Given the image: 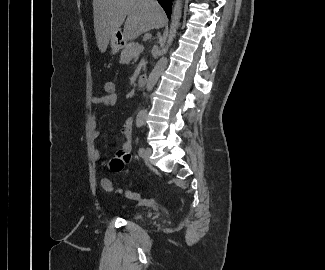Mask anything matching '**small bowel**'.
I'll return each mask as SVG.
<instances>
[{"label":"small bowel","mask_w":325,"mask_h":270,"mask_svg":"<svg viewBox=\"0 0 325 270\" xmlns=\"http://www.w3.org/2000/svg\"><path fill=\"white\" fill-rule=\"evenodd\" d=\"M105 86V85H104ZM116 91V90H115ZM118 102V96H106L104 93L101 96H94L91 98V103L99 108V107H114ZM132 126L133 120L132 118H128L122 125L121 132L124 137V140L121 144L120 150L117 152L116 156L113 157L110 161V169L113 172H119L123 170L126 163L130 160V154L132 151ZM91 137L93 140H97L100 137V132L97 129L96 119L93 116L91 120ZM92 157L95 161H101V154L97 148H93L92 150ZM104 165L105 162H102Z\"/></svg>","instance_id":"1"}]
</instances>
